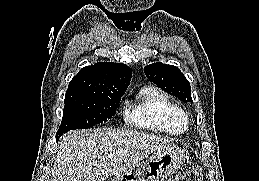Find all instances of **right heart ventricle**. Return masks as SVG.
I'll use <instances>...</instances> for the list:
<instances>
[{
  "instance_id": "e07e8e85",
  "label": "right heart ventricle",
  "mask_w": 259,
  "mask_h": 181,
  "mask_svg": "<svg viewBox=\"0 0 259 181\" xmlns=\"http://www.w3.org/2000/svg\"><path fill=\"white\" fill-rule=\"evenodd\" d=\"M125 122L145 130L178 135L185 131L186 115L178 104L156 87H144L125 107Z\"/></svg>"
}]
</instances>
